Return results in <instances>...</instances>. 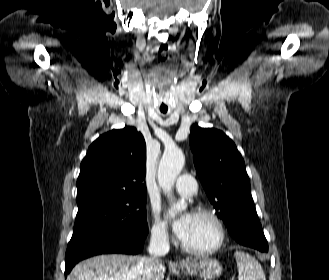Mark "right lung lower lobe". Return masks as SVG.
I'll use <instances>...</instances> for the list:
<instances>
[{
    "label": "right lung lower lobe",
    "instance_id": "98d812e1",
    "mask_svg": "<svg viewBox=\"0 0 329 280\" xmlns=\"http://www.w3.org/2000/svg\"><path fill=\"white\" fill-rule=\"evenodd\" d=\"M145 237L126 239L106 232L82 237L68 244L65 255V277L79 261L94 255L107 253L137 254L142 251Z\"/></svg>",
    "mask_w": 329,
    "mask_h": 280
}]
</instances>
